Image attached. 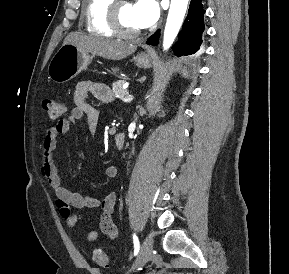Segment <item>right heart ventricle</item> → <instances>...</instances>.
I'll return each instance as SVG.
<instances>
[{"label":"right heart ventricle","mask_w":289,"mask_h":274,"mask_svg":"<svg viewBox=\"0 0 289 274\" xmlns=\"http://www.w3.org/2000/svg\"><path fill=\"white\" fill-rule=\"evenodd\" d=\"M112 2L113 0H84L83 19L87 31L104 37L115 35L108 22Z\"/></svg>","instance_id":"obj_1"}]
</instances>
